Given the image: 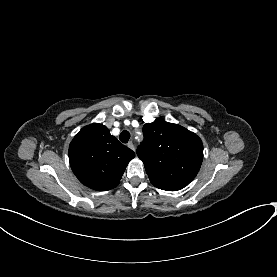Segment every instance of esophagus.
<instances>
[{"label": "esophagus", "instance_id": "1", "mask_svg": "<svg viewBox=\"0 0 277 277\" xmlns=\"http://www.w3.org/2000/svg\"><path fill=\"white\" fill-rule=\"evenodd\" d=\"M128 147H129L130 149H132L133 151H135V146H134V144H133L132 141L128 142Z\"/></svg>", "mask_w": 277, "mask_h": 277}]
</instances>
